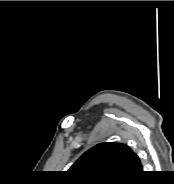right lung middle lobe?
I'll return each mask as SVG.
<instances>
[{"label":"right lung middle lobe","mask_w":174,"mask_h":184,"mask_svg":"<svg viewBox=\"0 0 174 184\" xmlns=\"http://www.w3.org/2000/svg\"><path fill=\"white\" fill-rule=\"evenodd\" d=\"M90 183H106V182H90Z\"/></svg>","instance_id":"obj_1"}]
</instances>
